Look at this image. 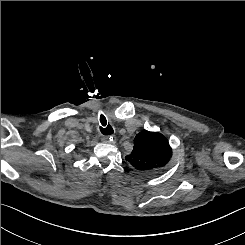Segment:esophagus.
<instances>
[{
  "mask_svg": "<svg viewBox=\"0 0 245 245\" xmlns=\"http://www.w3.org/2000/svg\"><path fill=\"white\" fill-rule=\"evenodd\" d=\"M111 140V137L109 136H102L101 137V141L104 143H108Z\"/></svg>",
  "mask_w": 245,
  "mask_h": 245,
  "instance_id": "obj_1",
  "label": "esophagus"
}]
</instances>
